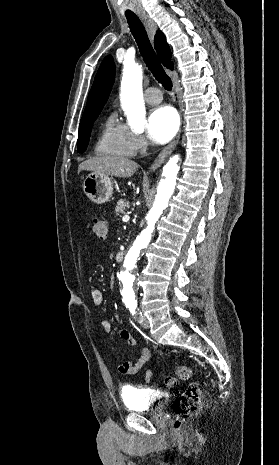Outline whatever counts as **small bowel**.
Listing matches in <instances>:
<instances>
[{
  "label": "small bowel",
  "instance_id": "c3829d8e",
  "mask_svg": "<svg viewBox=\"0 0 279 465\" xmlns=\"http://www.w3.org/2000/svg\"><path fill=\"white\" fill-rule=\"evenodd\" d=\"M91 297L95 306H100L103 303L104 295L100 289L94 288L91 292ZM101 327L103 332L106 334H109L112 331V325L107 320H103L101 322ZM119 335L124 341L127 342L129 346L134 347L138 345L137 339L129 331L122 329L120 330ZM150 358V349L146 346H142L139 350L138 357L136 358V360L130 359L118 364V372L124 375L136 374L150 360ZM151 376V371H147L145 374V378L149 380Z\"/></svg>",
  "mask_w": 279,
  "mask_h": 465
}]
</instances>
